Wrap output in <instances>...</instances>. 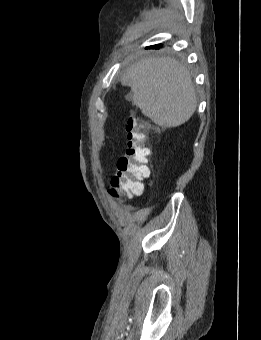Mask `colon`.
Wrapping results in <instances>:
<instances>
[{
	"mask_svg": "<svg viewBox=\"0 0 261 340\" xmlns=\"http://www.w3.org/2000/svg\"><path fill=\"white\" fill-rule=\"evenodd\" d=\"M126 132V155L118 159L117 174L112 178L109 189L110 196L121 201L140 195L142 181L149 176L147 161L150 150L145 143L144 126L136 119L129 118Z\"/></svg>",
	"mask_w": 261,
	"mask_h": 340,
	"instance_id": "5ec220e1",
	"label": "colon"
}]
</instances>
